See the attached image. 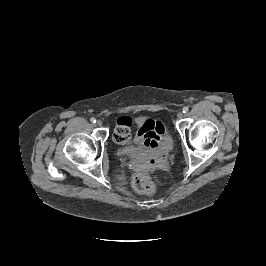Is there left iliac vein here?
Masks as SVG:
<instances>
[{
  "label": "left iliac vein",
  "instance_id": "4c4485c4",
  "mask_svg": "<svg viewBox=\"0 0 266 266\" xmlns=\"http://www.w3.org/2000/svg\"><path fill=\"white\" fill-rule=\"evenodd\" d=\"M177 117H178L179 119H182V118L184 117V114H183L182 112H178V113H177Z\"/></svg>",
  "mask_w": 266,
  "mask_h": 266
}]
</instances>
